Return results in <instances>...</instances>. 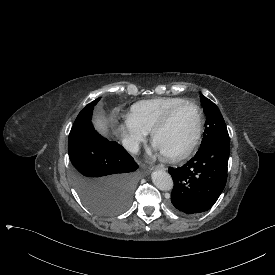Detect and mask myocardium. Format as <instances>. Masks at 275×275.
I'll return each mask as SVG.
<instances>
[{"instance_id": "f54148a6", "label": "myocardium", "mask_w": 275, "mask_h": 275, "mask_svg": "<svg viewBox=\"0 0 275 275\" xmlns=\"http://www.w3.org/2000/svg\"><path fill=\"white\" fill-rule=\"evenodd\" d=\"M183 106H191L194 109L195 115H196L195 130H194L192 137L189 139V141L183 147H181L178 150L171 152V153L160 152V154L163 157H165L169 160H179V159L187 156L193 150V148L196 146L197 142L200 139L201 133H202L203 120H202L201 111H200L198 105L192 101H184V102H181V103L173 106L165 114L163 119L153 127L151 134H150L152 145L154 143L156 136L159 133H161L162 131H164L169 126L174 114Z\"/></svg>"}]
</instances>
